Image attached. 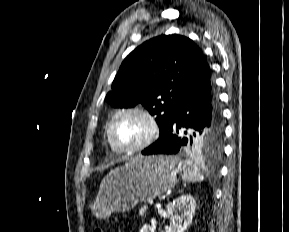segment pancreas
Listing matches in <instances>:
<instances>
[{
  "mask_svg": "<svg viewBox=\"0 0 289 232\" xmlns=\"http://www.w3.org/2000/svg\"><path fill=\"white\" fill-rule=\"evenodd\" d=\"M146 210H147V207H146V206L143 207V208H141V209L139 210V214H140V215H143Z\"/></svg>",
  "mask_w": 289,
  "mask_h": 232,
  "instance_id": "obj_1",
  "label": "pancreas"
}]
</instances>
